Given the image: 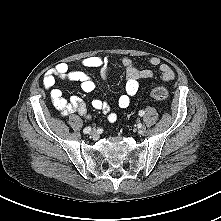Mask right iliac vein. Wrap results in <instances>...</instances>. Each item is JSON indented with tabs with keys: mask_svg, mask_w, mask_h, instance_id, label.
Here are the masks:
<instances>
[{
	"mask_svg": "<svg viewBox=\"0 0 221 221\" xmlns=\"http://www.w3.org/2000/svg\"><path fill=\"white\" fill-rule=\"evenodd\" d=\"M90 134H91L92 136H96V135H97V133H96V131H95L94 129L90 130Z\"/></svg>",
	"mask_w": 221,
	"mask_h": 221,
	"instance_id": "right-iliac-vein-1",
	"label": "right iliac vein"
}]
</instances>
